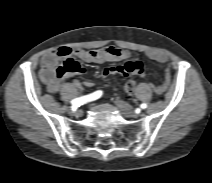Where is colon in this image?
<instances>
[{"label": "colon", "instance_id": "5ec220e1", "mask_svg": "<svg viewBox=\"0 0 212 183\" xmlns=\"http://www.w3.org/2000/svg\"><path fill=\"white\" fill-rule=\"evenodd\" d=\"M83 72L84 69L82 68V66L74 59L68 57L56 67L54 75L56 79H62L68 74H79ZM135 85L136 83L134 80H129L125 83L124 89L127 93H132Z\"/></svg>", "mask_w": 212, "mask_h": 183}]
</instances>
